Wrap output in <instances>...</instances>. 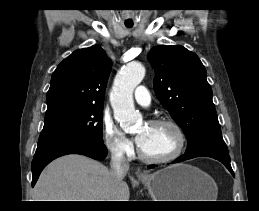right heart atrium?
Returning <instances> with one entry per match:
<instances>
[{
	"label": "right heart atrium",
	"mask_w": 259,
	"mask_h": 211,
	"mask_svg": "<svg viewBox=\"0 0 259 211\" xmlns=\"http://www.w3.org/2000/svg\"><path fill=\"white\" fill-rule=\"evenodd\" d=\"M105 146L117 158H126L132 154L130 139L117 127L111 118L104 116L102 120Z\"/></svg>",
	"instance_id": "1"
}]
</instances>
